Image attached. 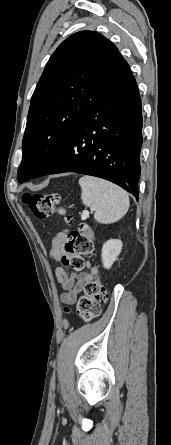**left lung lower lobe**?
Segmentation results:
<instances>
[{
  "mask_svg": "<svg viewBox=\"0 0 171 445\" xmlns=\"http://www.w3.org/2000/svg\"><path fill=\"white\" fill-rule=\"evenodd\" d=\"M141 99L133 75L75 123L51 159L31 178L75 172L111 181L138 199Z\"/></svg>",
  "mask_w": 171,
  "mask_h": 445,
  "instance_id": "left-lung-lower-lobe-1",
  "label": "left lung lower lobe"
}]
</instances>
